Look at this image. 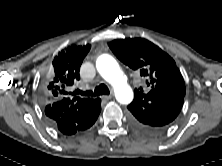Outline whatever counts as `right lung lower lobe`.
<instances>
[{
	"label": "right lung lower lobe",
	"instance_id": "98d812e1",
	"mask_svg": "<svg viewBox=\"0 0 222 166\" xmlns=\"http://www.w3.org/2000/svg\"><path fill=\"white\" fill-rule=\"evenodd\" d=\"M101 111V100L96 98L87 110L79 112L77 105L68 98L48 97L45 114L52 127L65 135L75 134L91 127Z\"/></svg>",
	"mask_w": 222,
	"mask_h": 166
}]
</instances>
